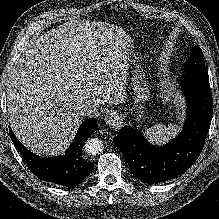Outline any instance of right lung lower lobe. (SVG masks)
<instances>
[{
  "mask_svg": "<svg viewBox=\"0 0 219 219\" xmlns=\"http://www.w3.org/2000/svg\"><path fill=\"white\" fill-rule=\"evenodd\" d=\"M96 118L86 119L66 153L62 156L42 158L27 150L9 128L10 137L30 170L41 180L66 187L79 185L93 168V163L82 156V148L87 138L97 129Z\"/></svg>",
  "mask_w": 219,
  "mask_h": 219,
  "instance_id": "1",
  "label": "right lung lower lobe"
}]
</instances>
